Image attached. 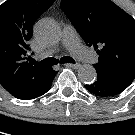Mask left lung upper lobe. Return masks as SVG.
<instances>
[{"label": "left lung upper lobe", "instance_id": "5c2ea615", "mask_svg": "<svg viewBox=\"0 0 135 135\" xmlns=\"http://www.w3.org/2000/svg\"><path fill=\"white\" fill-rule=\"evenodd\" d=\"M61 9L88 46L97 73L130 85L135 79V20L111 0H62Z\"/></svg>", "mask_w": 135, "mask_h": 135}]
</instances>
